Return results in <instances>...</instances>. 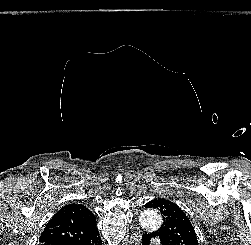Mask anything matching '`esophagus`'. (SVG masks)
I'll use <instances>...</instances> for the list:
<instances>
[{
  "mask_svg": "<svg viewBox=\"0 0 251 245\" xmlns=\"http://www.w3.org/2000/svg\"><path fill=\"white\" fill-rule=\"evenodd\" d=\"M129 245H141V232L139 230H135L129 241H128Z\"/></svg>",
  "mask_w": 251,
  "mask_h": 245,
  "instance_id": "34e87169",
  "label": "esophagus"
}]
</instances>
